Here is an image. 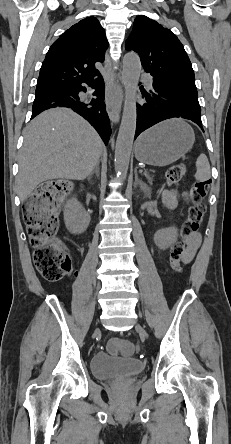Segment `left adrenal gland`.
I'll list each match as a JSON object with an SVG mask.
<instances>
[{"instance_id": "a2214340", "label": "left adrenal gland", "mask_w": 231, "mask_h": 444, "mask_svg": "<svg viewBox=\"0 0 231 444\" xmlns=\"http://www.w3.org/2000/svg\"><path fill=\"white\" fill-rule=\"evenodd\" d=\"M140 186V189L144 192L147 193L148 192V187L147 185L142 181L138 179V174H137V170H135V182H134V187L136 186Z\"/></svg>"}]
</instances>
